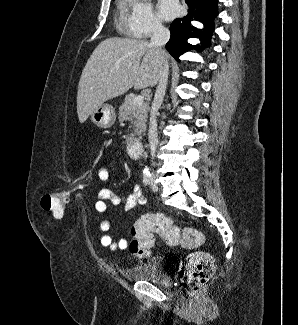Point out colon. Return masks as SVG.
Instances as JSON below:
<instances>
[{
    "instance_id": "colon-1",
    "label": "colon",
    "mask_w": 298,
    "mask_h": 325,
    "mask_svg": "<svg viewBox=\"0 0 298 325\" xmlns=\"http://www.w3.org/2000/svg\"><path fill=\"white\" fill-rule=\"evenodd\" d=\"M85 186L79 182L69 188L47 192L41 198V207L52 212L55 218H61L70 195ZM153 233H157L169 246L194 249L204 243V236L199 230L192 227L179 228L163 215L150 214L142 216L133 225V240L129 244V251L138 258L149 257L154 245ZM214 270L215 261L212 256L200 251L190 253L180 270L184 288L190 293L198 292L209 281Z\"/></svg>"
}]
</instances>
